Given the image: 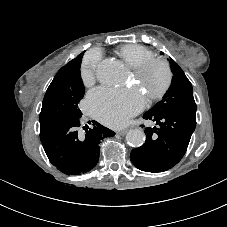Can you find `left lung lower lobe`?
Wrapping results in <instances>:
<instances>
[{
	"label": "left lung lower lobe",
	"mask_w": 227,
	"mask_h": 227,
	"mask_svg": "<svg viewBox=\"0 0 227 227\" xmlns=\"http://www.w3.org/2000/svg\"><path fill=\"white\" fill-rule=\"evenodd\" d=\"M146 120L159 127L145 128L146 142L130 154L132 163L146 172H163L175 166L184 156L196 127V115L170 111L146 112Z\"/></svg>",
	"instance_id": "obj_1"
}]
</instances>
